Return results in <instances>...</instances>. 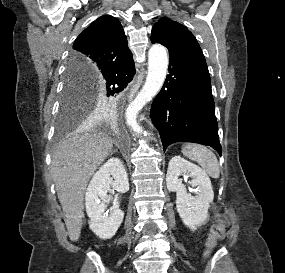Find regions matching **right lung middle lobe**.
<instances>
[{
  "label": "right lung middle lobe",
  "instance_id": "1",
  "mask_svg": "<svg viewBox=\"0 0 285 273\" xmlns=\"http://www.w3.org/2000/svg\"><path fill=\"white\" fill-rule=\"evenodd\" d=\"M117 97V94L107 96L103 91L90 85L88 78H82L67 69L58 120L59 129L65 130L73 126L88 116L97 105L115 104Z\"/></svg>",
  "mask_w": 285,
  "mask_h": 273
}]
</instances>
